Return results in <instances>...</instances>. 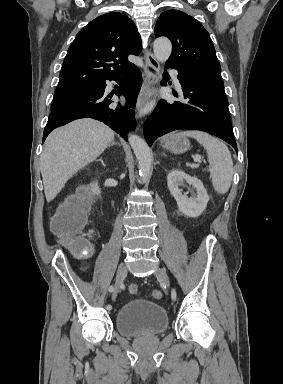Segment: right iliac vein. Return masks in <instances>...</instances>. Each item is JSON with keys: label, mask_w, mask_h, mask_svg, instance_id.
Wrapping results in <instances>:
<instances>
[{"label": "right iliac vein", "mask_w": 283, "mask_h": 384, "mask_svg": "<svg viewBox=\"0 0 283 384\" xmlns=\"http://www.w3.org/2000/svg\"><path fill=\"white\" fill-rule=\"evenodd\" d=\"M127 275V268L126 266L122 263L119 265L117 274H116V279H115V286L112 294V299L115 300L117 297V294L120 290V287Z\"/></svg>", "instance_id": "right-iliac-vein-1"}]
</instances>
